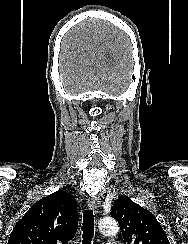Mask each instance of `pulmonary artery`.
<instances>
[{
    "label": "pulmonary artery",
    "instance_id": "obj_1",
    "mask_svg": "<svg viewBox=\"0 0 188 244\" xmlns=\"http://www.w3.org/2000/svg\"><path fill=\"white\" fill-rule=\"evenodd\" d=\"M106 244H117V243H115V242H108V243H106Z\"/></svg>",
    "mask_w": 188,
    "mask_h": 244
}]
</instances>
